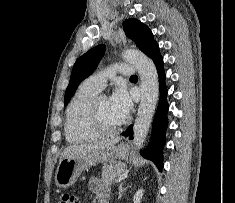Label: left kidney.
Segmentation results:
<instances>
[{
    "instance_id": "5707ae66",
    "label": "left kidney",
    "mask_w": 235,
    "mask_h": 203,
    "mask_svg": "<svg viewBox=\"0 0 235 203\" xmlns=\"http://www.w3.org/2000/svg\"><path fill=\"white\" fill-rule=\"evenodd\" d=\"M143 189H139L136 194L134 195L133 202L134 203H141V199L143 196Z\"/></svg>"
}]
</instances>
